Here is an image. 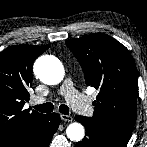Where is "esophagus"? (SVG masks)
Masks as SVG:
<instances>
[{"label": "esophagus", "mask_w": 147, "mask_h": 147, "mask_svg": "<svg viewBox=\"0 0 147 147\" xmlns=\"http://www.w3.org/2000/svg\"><path fill=\"white\" fill-rule=\"evenodd\" d=\"M60 117H61V119H62L63 121H66V122H72V121H73V117L70 116V115L61 114Z\"/></svg>", "instance_id": "1"}]
</instances>
